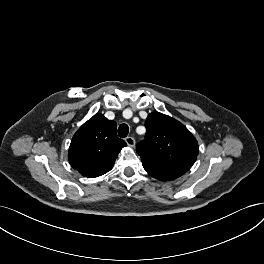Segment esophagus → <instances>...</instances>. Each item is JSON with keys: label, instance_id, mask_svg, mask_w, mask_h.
<instances>
[{"label": "esophagus", "instance_id": "1", "mask_svg": "<svg viewBox=\"0 0 264 264\" xmlns=\"http://www.w3.org/2000/svg\"><path fill=\"white\" fill-rule=\"evenodd\" d=\"M128 146L133 147L135 145V139L131 136L125 139Z\"/></svg>", "mask_w": 264, "mask_h": 264}]
</instances>
